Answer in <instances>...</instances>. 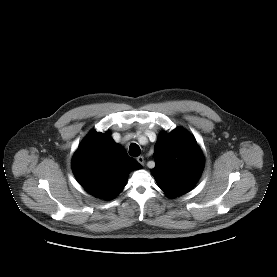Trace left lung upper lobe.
I'll list each match as a JSON object with an SVG mask.
<instances>
[{
	"label": "left lung upper lobe",
	"mask_w": 277,
	"mask_h": 277,
	"mask_svg": "<svg viewBox=\"0 0 277 277\" xmlns=\"http://www.w3.org/2000/svg\"><path fill=\"white\" fill-rule=\"evenodd\" d=\"M154 159L152 174L160 189L171 198L188 192L198 181L204 165L196 140L182 128L159 136Z\"/></svg>",
	"instance_id": "1"
}]
</instances>
